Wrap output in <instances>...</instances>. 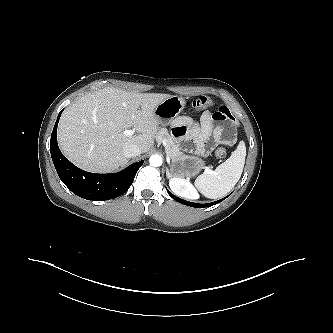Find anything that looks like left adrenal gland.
Listing matches in <instances>:
<instances>
[{"label": "left adrenal gland", "mask_w": 333, "mask_h": 333, "mask_svg": "<svg viewBox=\"0 0 333 333\" xmlns=\"http://www.w3.org/2000/svg\"><path fill=\"white\" fill-rule=\"evenodd\" d=\"M166 176H167V178H170V177H171V175H170V173H169V169H168V168H166Z\"/></svg>", "instance_id": "a2214340"}]
</instances>
